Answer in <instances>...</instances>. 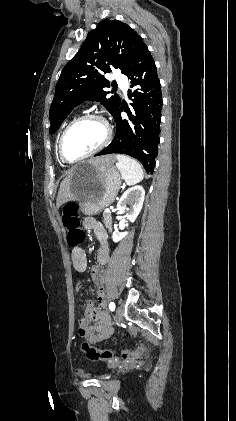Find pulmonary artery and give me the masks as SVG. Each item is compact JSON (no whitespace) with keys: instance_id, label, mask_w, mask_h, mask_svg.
I'll list each match as a JSON object with an SVG mask.
<instances>
[{"instance_id":"pulmonary-artery-1","label":"pulmonary artery","mask_w":236,"mask_h":421,"mask_svg":"<svg viewBox=\"0 0 236 421\" xmlns=\"http://www.w3.org/2000/svg\"><path fill=\"white\" fill-rule=\"evenodd\" d=\"M117 75H118V76H121V75H122V72H121V71H118V72H117ZM116 84H117L118 86H125V85L127 84V79H126L125 77H118V78L116 79Z\"/></svg>"}]
</instances>
